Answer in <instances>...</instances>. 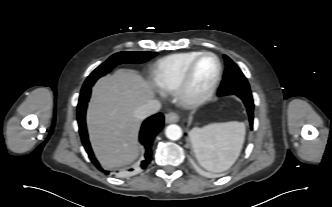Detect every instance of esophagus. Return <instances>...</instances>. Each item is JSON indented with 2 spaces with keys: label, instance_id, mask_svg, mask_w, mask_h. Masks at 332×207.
Wrapping results in <instances>:
<instances>
[{
  "label": "esophagus",
  "instance_id": "obj_1",
  "mask_svg": "<svg viewBox=\"0 0 332 207\" xmlns=\"http://www.w3.org/2000/svg\"><path fill=\"white\" fill-rule=\"evenodd\" d=\"M166 123H176L179 121V115L176 112H169L165 116Z\"/></svg>",
  "mask_w": 332,
  "mask_h": 207
}]
</instances>
